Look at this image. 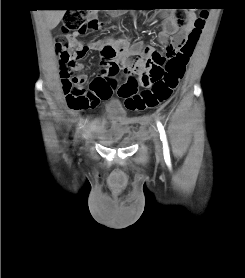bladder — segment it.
I'll return each mask as SVG.
<instances>
[{"label":"bladder","mask_w":245,"mask_h":278,"mask_svg":"<svg viewBox=\"0 0 245 278\" xmlns=\"http://www.w3.org/2000/svg\"><path fill=\"white\" fill-rule=\"evenodd\" d=\"M104 115L107 123L101 140L112 146L129 147L135 142L134 130L126 124L130 120L125 108L118 99H112L106 104Z\"/></svg>","instance_id":"1"}]
</instances>
